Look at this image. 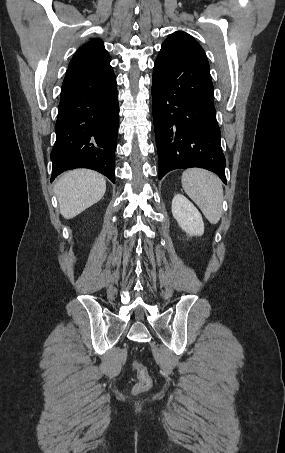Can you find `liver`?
<instances>
[{"instance_id": "1", "label": "liver", "mask_w": 285, "mask_h": 453, "mask_svg": "<svg viewBox=\"0 0 285 453\" xmlns=\"http://www.w3.org/2000/svg\"><path fill=\"white\" fill-rule=\"evenodd\" d=\"M105 191V178L87 169L65 172L55 184L60 213L66 219L74 218L100 201Z\"/></svg>"}]
</instances>
